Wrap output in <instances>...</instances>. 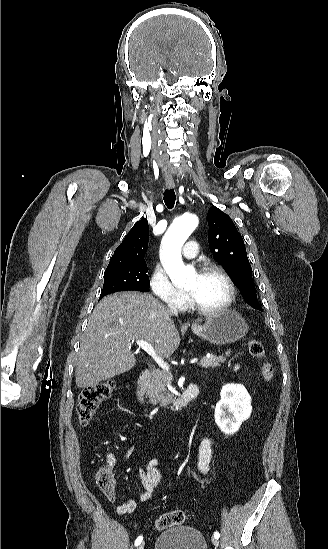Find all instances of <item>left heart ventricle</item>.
Listing matches in <instances>:
<instances>
[{
  "instance_id": "obj_1",
  "label": "left heart ventricle",
  "mask_w": 328,
  "mask_h": 549,
  "mask_svg": "<svg viewBox=\"0 0 328 549\" xmlns=\"http://www.w3.org/2000/svg\"><path fill=\"white\" fill-rule=\"evenodd\" d=\"M183 289L205 308L220 305L228 295L225 279L214 271L198 274L194 270Z\"/></svg>"
}]
</instances>
